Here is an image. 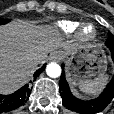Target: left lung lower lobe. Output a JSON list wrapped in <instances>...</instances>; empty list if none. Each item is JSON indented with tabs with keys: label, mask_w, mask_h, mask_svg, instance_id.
<instances>
[{
	"label": "left lung lower lobe",
	"mask_w": 114,
	"mask_h": 114,
	"mask_svg": "<svg viewBox=\"0 0 114 114\" xmlns=\"http://www.w3.org/2000/svg\"><path fill=\"white\" fill-rule=\"evenodd\" d=\"M107 46L111 51V57L114 61V44ZM59 89L60 95L62 97V103L67 109L81 114H95L104 110L113 99L114 77L97 99L91 101H83L75 98L71 94L68 83L65 79L64 66H62V74L59 81Z\"/></svg>",
	"instance_id": "obj_1"
}]
</instances>
